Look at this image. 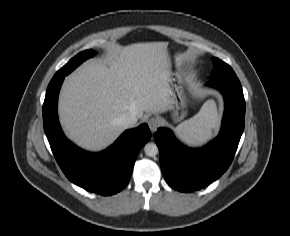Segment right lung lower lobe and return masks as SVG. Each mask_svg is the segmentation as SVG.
Wrapping results in <instances>:
<instances>
[{
  "instance_id": "obj_1",
  "label": "right lung lower lobe",
  "mask_w": 290,
  "mask_h": 236,
  "mask_svg": "<svg viewBox=\"0 0 290 236\" xmlns=\"http://www.w3.org/2000/svg\"><path fill=\"white\" fill-rule=\"evenodd\" d=\"M64 75L54 76L43 104V125L50 147L66 177L85 190L112 195L129 182L136 157L151 137L147 124L125 131L100 153H89L71 143L63 134L57 114L58 94Z\"/></svg>"
}]
</instances>
